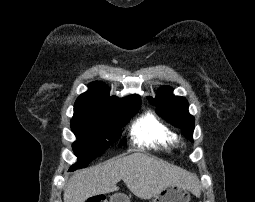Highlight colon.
<instances>
[{"label": "colon", "mask_w": 255, "mask_h": 202, "mask_svg": "<svg viewBox=\"0 0 255 202\" xmlns=\"http://www.w3.org/2000/svg\"><path fill=\"white\" fill-rule=\"evenodd\" d=\"M87 202H105V200L99 197H94L89 199Z\"/></svg>", "instance_id": "1"}]
</instances>
